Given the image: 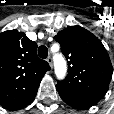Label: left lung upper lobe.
Returning <instances> with one entry per match:
<instances>
[{
    "label": "left lung upper lobe",
    "mask_w": 114,
    "mask_h": 114,
    "mask_svg": "<svg viewBox=\"0 0 114 114\" xmlns=\"http://www.w3.org/2000/svg\"><path fill=\"white\" fill-rule=\"evenodd\" d=\"M55 40L69 60L68 75L56 86L102 99L108 91L113 67L101 41L80 26L59 31Z\"/></svg>",
    "instance_id": "1"
}]
</instances>
